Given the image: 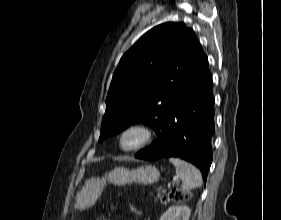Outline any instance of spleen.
<instances>
[{
	"label": "spleen",
	"instance_id": "3e777b00",
	"mask_svg": "<svg viewBox=\"0 0 281 220\" xmlns=\"http://www.w3.org/2000/svg\"><path fill=\"white\" fill-rule=\"evenodd\" d=\"M169 161L175 166L176 174L182 180L183 190H190L202 185V175L194 165L179 158H170Z\"/></svg>",
	"mask_w": 281,
	"mask_h": 220
}]
</instances>
